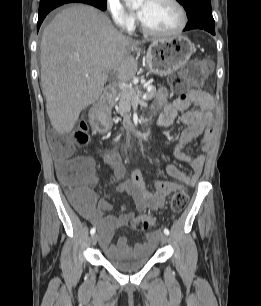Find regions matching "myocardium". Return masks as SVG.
<instances>
[{
	"label": "myocardium",
	"mask_w": 261,
	"mask_h": 306,
	"mask_svg": "<svg viewBox=\"0 0 261 306\" xmlns=\"http://www.w3.org/2000/svg\"><path fill=\"white\" fill-rule=\"evenodd\" d=\"M168 2L173 4L176 7V9L178 10L179 22H178L177 26L175 28H173L172 30H169V31L155 30V29L150 28L148 25H146L143 22V20L139 17V15H137L138 26L140 27V29L144 33H146L148 35H151V36L169 37V36L177 35L185 29V27L187 26V23H188V15H187L186 9L184 8V6L182 5V3L179 0H168Z\"/></svg>",
	"instance_id": "myocardium-1"
}]
</instances>
